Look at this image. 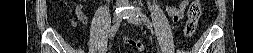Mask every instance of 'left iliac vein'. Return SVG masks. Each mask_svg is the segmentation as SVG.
Masks as SVG:
<instances>
[{"mask_svg": "<svg viewBox=\"0 0 253 53\" xmlns=\"http://www.w3.org/2000/svg\"><path fill=\"white\" fill-rule=\"evenodd\" d=\"M128 21L134 25H140L142 23L141 19L136 16L134 11L131 12V16L128 18Z\"/></svg>", "mask_w": 253, "mask_h": 53, "instance_id": "4c4485c4", "label": "left iliac vein"}]
</instances>
